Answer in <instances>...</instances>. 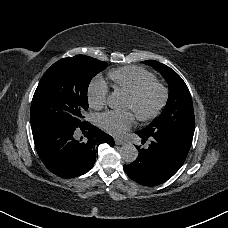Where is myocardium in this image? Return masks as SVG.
I'll use <instances>...</instances> for the list:
<instances>
[{"label": "myocardium", "mask_w": 228, "mask_h": 228, "mask_svg": "<svg viewBox=\"0 0 228 228\" xmlns=\"http://www.w3.org/2000/svg\"><path fill=\"white\" fill-rule=\"evenodd\" d=\"M153 90H156L158 92L157 103H156L154 109L149 114H147V115L136 114L137 118L140 121H151L159 116V114L161 113V111L165 105L166 89L163 85L154 82V83H151V84L141 88L139 91L130 95V97H129L130 101L133 104L137 105V104H140L144 100V98Z\"/></svg>", "instance_id": "1"}]
</instances>
